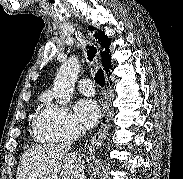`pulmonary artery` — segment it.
I'll return each instance as SVG.
<instances>
[{
	"mask_svg": "<svg viewBox=\"0 0 183 179\" xmlns=\"http://www.w3.org/2000/svg\"><path fill=\"white\" fill-rule=\"evenodd\" d=\"M78 90L84 95H93L95 93L94 84L88 78H82L77 83Z\"/></svg>",
	"mask_w": 183,
	"mask_h": 179,
	"instance_id": "obj_1",
	"label": "pulmonary artery"
}]
</instances>
